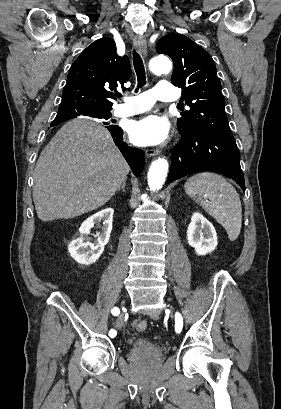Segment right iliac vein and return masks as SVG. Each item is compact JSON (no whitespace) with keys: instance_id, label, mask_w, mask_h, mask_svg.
I'll return each mask as SVG.
<instances>
[{"instance_id":"63e3f726","label":"right iliac vein","mask_w":281,"mask_h":409,"mask_svg":"<svg viewBox=\"0 0 281 409\" xmlns=\"http://www.w3.org/2000/svg\"><path fill=\"white\" fill-rule=\"evenodd\" d=\"M122 325H123V314H120L117 318L116 327L119 329L121 328Z\"/></svg>"}]
</instances>
